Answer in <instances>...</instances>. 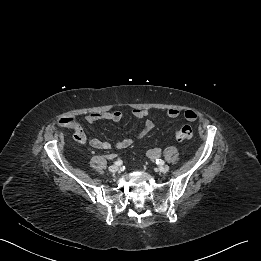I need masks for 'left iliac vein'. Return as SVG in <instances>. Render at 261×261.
I'll use <instances>...</instances> for the list:
<instances>
[{
    "mask_svg": "<svg viewBox=\"0 0 261 261\" xmlns=\"http://www.w3.org/2000/svg\"><path fill=\"white\" fill-rule=\"evenodd\" d=\"M159 171L162 173H167L169 171V166L168 165H162L159 168Z\"/></svg>",
    "mask_w": 261,
    "mask_h": 261,
    "instance_id": "obj_1",
    "label": "left iliac vein"
}]
</instances>
